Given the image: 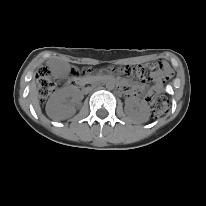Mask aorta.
Returning <instances> with one entry per match:
<instances>
[{
  "label": "aorta",
  "instance_id": "762f6f07",
  "mask_svg": "<svg viewBox=\"0 0 206 206\" xmlns=\"http://www.w3.org/2000/svg\"><path fill=\"white\" fill-rule=\"evenodd\" d=\"M114 87H115V84H114L113 81H108V82L106 83V88H107V90H113Z\"/></svg>",
  "mask_w": 206,
  "mask_h": 206
}]
</instances>
